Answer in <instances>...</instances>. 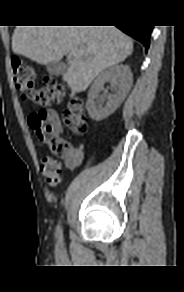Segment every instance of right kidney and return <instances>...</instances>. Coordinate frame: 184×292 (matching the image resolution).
Segmentation results:
<instances>
[{"label": "right kidney", "instance_id": "obj_1", "mask_svg": "<svg viewBox=\"0 0 184 292\" xmlns=\"http://www.w3.org/2000/svg\"><path fill=\"white\" fill-rule=\"evenodd\" d=\"M109 82L111 93L106 94L100 101L98 94ZM133 75L128 65L117 64L102 71L92 83L87 100L89 116L100 121L112 114L122 103L131 89Z\"/></svg>", "mask_w": 184, "mask_h": 292}]
</instances>
